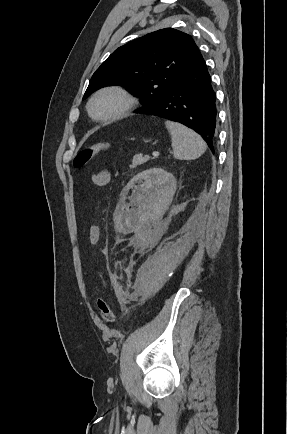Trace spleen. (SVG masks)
Segmentation results:
<instances>
[{
	"mask_svg": "<svg viewBox=\"0 0 287 434\" xmlns=\"http://www.w3.org/2000/svg\"><path fill=\"white\" fill-rule=\"evenodd\" d=\"M165 126L171 134L175 159H196L206 151L204 140L191 129L172 121H166Z\"/></svg>",
	"mask_w": 287,
	"mask_h": 434,
	"instance_id": "spleen-1",
	"label": "spleen"
}]
</instances>
